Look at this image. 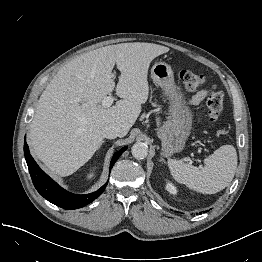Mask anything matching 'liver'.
Instances as JSON below:
<instances>
[{"mask_svg":"<svg viewBox=\"0 0 262 262\" xmlns=\"http://www.w3.org/2000/svg\"><path fill=\"white\" fill-rule=\"evenodd\" d=\"M168 51L153 43H122L65 64L39 98L28 135L34 155L51 173L69 176L100 147L104 126L115 124L125 136L148 99L150 63ZM115 64L121 72L116 94L122 99L104 107L102 100L115 87Z\"/></svg>","mask_w":262,"mask_h":262,"instance_id":"6515ba94","label":"liver"}]
</instances>
